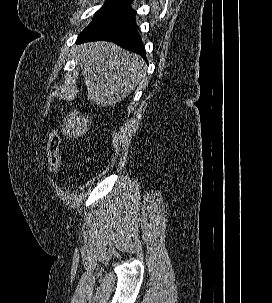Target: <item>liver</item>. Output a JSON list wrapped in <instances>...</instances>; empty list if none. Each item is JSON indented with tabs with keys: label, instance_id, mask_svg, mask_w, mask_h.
Segmentation results:
<instances>
[{
	"label": "liver",
	"instance_id": "1",
	"mask_svg": "<svg viewBox=\"0 0 272 303\" xmlns=\"http://www.w3.org/2000/svg\"><path fill=\"white\" fill-rule=\"evenodd\" d=\"M79 50L81 75L91 104L113 106L145 81L146 64L143 59L114 43H85L79 46ZM91 124L89 116L74 109L63 119V135L81 137Z\"/></svg>",
	"mask_w": 272,
	"mask_h": 303
}]
</instances>
